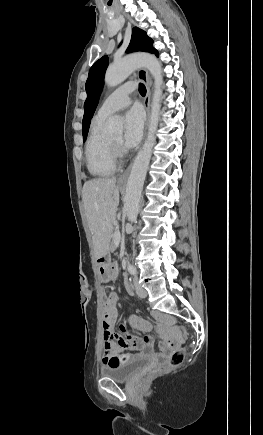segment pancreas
<instances>
[{"label":"pancreas","mask_w":263,"mask_h":435,"mask_svg":"<svg viewBox=\"0 0 263 435\" xmlns=\"http://www.w3.org/2000/svg\"><path fill=\"white\" fill-rule=\"evenodd\" d=\"M115 231H116V230H114V231L112 232V238H113V241L115 240V239H114Z\"/></svg>","instance_id":"cf45deb5"}]
</instances>
